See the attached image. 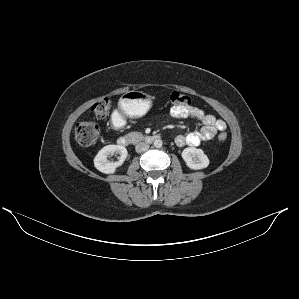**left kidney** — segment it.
<instances>
[{"label": "left kidney", "instance_id": "obj_1", "mask_svg": "<svg viewBox=\"0 0 299 299\" xmlns=\"http://www.w3.org/2000/svg\"><path fill=\"white\" fill-rule=\"evenodd\" d=\"M181 156L186 165L193 170L204 169L209 165V159L202 149L188 147L182 151Z\"/></svg>", "mask_w": 299, "mask_h": 299}]
</instances>
